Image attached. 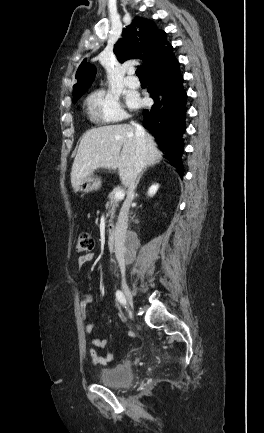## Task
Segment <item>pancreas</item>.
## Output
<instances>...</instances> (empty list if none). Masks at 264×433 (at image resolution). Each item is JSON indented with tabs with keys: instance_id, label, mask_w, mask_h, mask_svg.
Instances as JSON below:
<instances>
[{
	"instance_id": "1",
	"label": "pancreas",
	"mask_w": 264,
	"mask_h": 433,
	"mask_svg": "<svg viewBox=\"0 0 264 433\" xmlns=\"http://www.w3.org/2000/svg\"><path fill=\"white\" fill-rule=\"evenodd\" d=\"M115 190H113L108 198L109 202L106 204V209L108 211L107 216H110V226H112V220L115 217L116 208L118 207L119 200L115 199Z\"/></svg>"
}]
</instances>
